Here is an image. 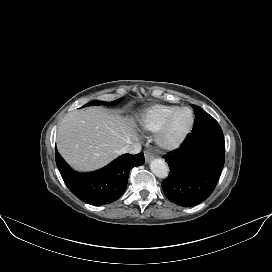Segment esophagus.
Listing matches in <instances>:
<instances>
[{"label": "esophagus", "instance_id": "obj_1", "mask_svg": "<svg viewBox=\"0 0 272 272\" xmlns=\"http://www.w3.org/2000/svg\"><path fill=\"white\" fill-rule=\"evenodd\" d=\"M144 155H145L146 162H149L153 158V154L150 150H145Z\"/></svg>", "mask_w": 272, "mask_h": 272}]
</instances>
